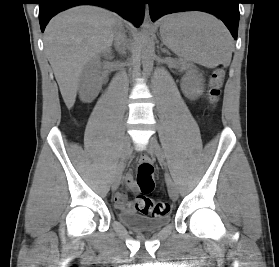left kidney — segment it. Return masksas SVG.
I'll use <instances>...</instances> for the list:
<instances>
[{
	"label": "left kidney",
	"mask_w": 279,
	"mask_h": 267,
	"mask_svg": "<svg viewBox=\"0 0 279 267\" xmlns=\"http://www.w3.org/2000/svg\"><path fill=\"white\" fill-rule=\"evenodd\" d=\"M182 88L188 97L195 99L203 92V79L196 74L188 73L183 78Z\"/></svg>",
	"instance_id": "1"
}]
</instances>
